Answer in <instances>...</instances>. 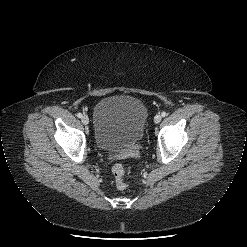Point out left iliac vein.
<instances>
[{
  "mask_svg": "<svg viewBox=\"0 0 247 247\" xmlns=\"http://www.w3.org/2000/svg\"><path fill=\"white\" fill-rule=\"evenodd\" d=\"M162 120V116L157 114L155 117H154V122L156 124L160 123V121Z\"/></svg>",
  "mask_w": 247,
  "mask_h": 247,
  "instance_id": "1",
  "label": "left iliac vein"
}]
</instances>
